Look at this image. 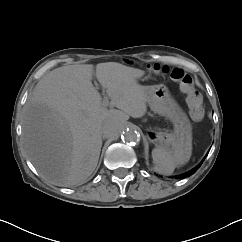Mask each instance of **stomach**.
<instances>
[{
	"label": "stomach",
	"instance_id": "1",
	"mask_svg": "<svg viewBox=\"0 0 242 242\" xmlns=\"http://www.w3.org/2000/svg\"><path fill=\"white\" fill-rule=\"evenodd\" d=\"M147 103L154 113L166 116L174 125V134L154 132L149 140L157 148L179 152L180 159L188 161L191 155V123L164 84L146 86Z\"/></svg>",
	"mask_w": 242,
	"mask_h": 242
}]
</instances>
